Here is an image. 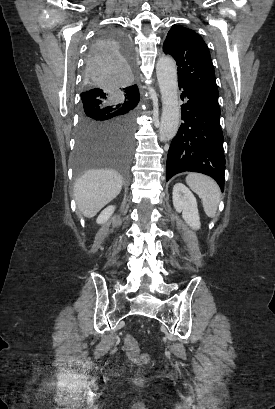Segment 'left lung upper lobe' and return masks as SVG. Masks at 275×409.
Segmentation results:
<instances>
[{
	"label": "left lung upper lobe",
	"mask_w": 275,
	"mask_h": 409,
	"mask_svg": "<svg viewBox=\"0 0 275 409\" xmlns=\"http://www.w3.org/2000/svg\"><path fill=\"white\" fill-rule=\"evenodd\" d=\"M163 51L176 60L178 83L192 84L218 95L209 49L195 31L173 26L164 41Z\"/></svg>",
	"instance_id": "1"
}]
</instances>
